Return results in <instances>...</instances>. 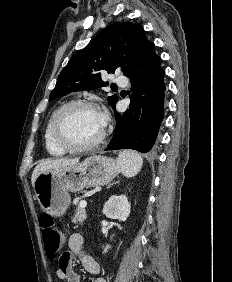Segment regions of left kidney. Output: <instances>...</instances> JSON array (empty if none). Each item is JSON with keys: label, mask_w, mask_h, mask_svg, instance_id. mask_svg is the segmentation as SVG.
<instances>
[{"label": "left kidney", "mask_w": 232, "mask_h": 282, "mask_svg": "<svg viewBox=\"0 0 232 282\" xmlns=\"http://www.w3.org/2000/svg\"><path fill=\"white\" fill-rule=\"evenodd\" d=\"M130 208V203L125 195H113L105 203L103 214L111 219L126 221L130 214ZM109 248L110 246L107 245L104 248V252H107Z\"/></svg>", "instance_id": "1"}]
</instances>
